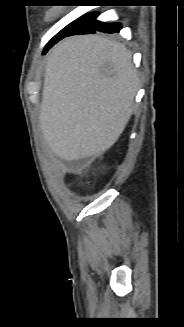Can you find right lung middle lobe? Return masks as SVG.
I'll list each match as a JSON object with an SVG mask.
<instances>
[{
    "instance_id": "right-lung-middle-lobe-1",
    "label": "right lung middle lobe",
    "mask_w": 184,
    "mask_h": 327,
    "mask_svg": "<svg viewBox=\"0 0 184 327\" xmlns=\"http://www.w3.org/2000/svg\"><path fill=\"white\" fill-rule=\"evenodd\" d=\"M84 16L80 17L79 19L73 21L69 25H67L63 30H61L57 35H55L49 43L46 45L44 52H46L50 47H52L56 42L63 38L68 32H70L83 18Z\"/></svg>"
}]
</instances>
